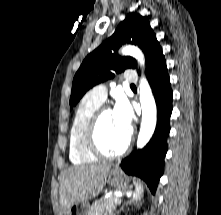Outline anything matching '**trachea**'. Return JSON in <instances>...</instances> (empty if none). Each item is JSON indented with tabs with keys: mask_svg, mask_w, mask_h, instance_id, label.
<instances>
[{
	"mask_svg": "<svg viewBox=\"0 0 221 215\" xmlns=\"http://www.w3.org/2000/svg\"><path fill=\"white\" fill-rule=\"evenodd\" d=\"M131 87H135V85H134V84H132V85H131Z\"/></svg>",
	"mask_w": 221,
	"mask_h": 215,
	"instance_id": "1",
	"label": "trachea"
}]
</instances>
